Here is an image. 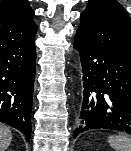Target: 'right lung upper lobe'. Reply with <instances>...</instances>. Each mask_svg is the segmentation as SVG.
I'll use <instances>...</instances> for the list:
<instances>
[{"label":"right lung upper lobe","mask_w":131,"mask_h":151,"mask_svg":"<svg viewBox=\"0 0 131 151\" xmlns=\"http://www.w3.org/2000/svg\"><path fill=\"white\" fill-rule=\"evenodd\" d=\"M28 0L0 1V39L23 37L37 31Z\"/></svg>","instance_id":"cb5924a9"}]
</instances>
